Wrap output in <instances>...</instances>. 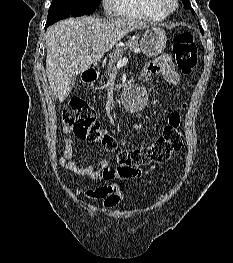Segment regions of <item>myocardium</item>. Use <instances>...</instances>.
Segmentation results:
<instances>
[{
    "label": "myocardium",
    "mask_w": 233,
    "mask_h": 263,
    "mask_svg": "<svg viewBox=\"0 0 233 263\" xmlns=\"http://www.w3.org/2000/svg\"><path fill=\"white\" fill-rule=\"evenodd\" d=\"M156 7L164 14H170L177 8L178 0H154Z\"/></svg>",
    "instance_id": "obj_1"
}]
</instances>
